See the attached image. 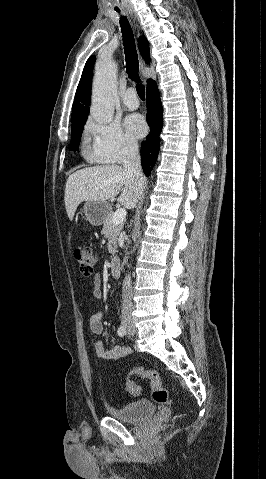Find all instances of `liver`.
Instances as JSON below:
<instances>
[{
	"instance_id": "liver-1",
	"label": "liver",
	"mask_w": 266,
	"mask_h": 479,
	"mask_svg": "<svg viewBox=\"0 0 266 479\" xmlns=\"http://www.w3.org/2000/svg\"><path fill=\"white\" fill-rule=\"evenodd\" d=\"M146 187V178L137 179L119 165H103L80 169L72 173L65 187V208L70 220L83 201H104L122 192L118 202L132 209Z\"/></svg>"
}]
</instances>
